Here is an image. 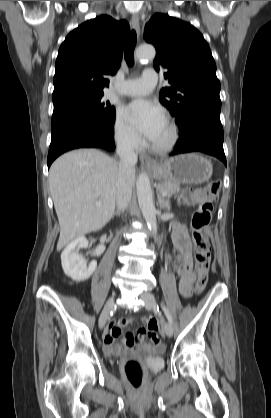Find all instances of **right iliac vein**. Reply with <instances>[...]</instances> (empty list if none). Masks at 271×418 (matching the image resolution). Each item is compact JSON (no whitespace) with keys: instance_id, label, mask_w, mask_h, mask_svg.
I'll return each instance as SVG.
<instances>
[{"instance_id":"63e3f726","label":"right iliac vein","mask_w":271,"mask_h":418,"mask_svg":"<svg viewBox=\"0 0 271 418\" xmlns=\"http://www.w3.org/2000/svg\"><path fill=\"white\" fill-rule=\"evenodd\" d=\"M114 297L110 298L107 303L105 304V307L101 313L100 319H99V327L102 329L104 328L106 321L109 317L110 312L114 308Z\"/></svg>"}]
</instances>
